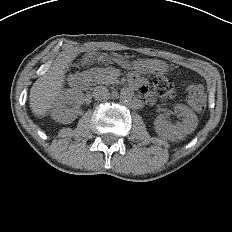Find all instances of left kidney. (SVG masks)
I'll use <instances>...</instances> for the list:
<instances>
[{"label": "left kidney", "mask_w": 232, "mask_h": 232, "mask_svg": "<svg viewBox=\"0 0 232 232\" xmlns=\"http://www.w3.org/2000/svg\"><path fill=\"white\" fill-rule=\"evenodd\" d=\"M175 109L183 116L182 122L172 124L165 114H160L154 121V127L160 136L169 140H180L192 133L198 125L196 114L184 104H176Z\"/></svg>", "instance_id": "left-kidney-1"}]
</instances>
